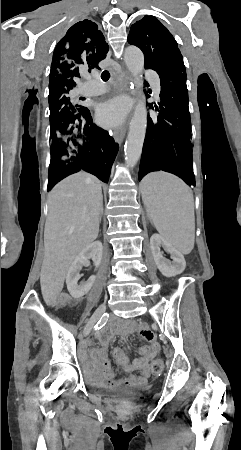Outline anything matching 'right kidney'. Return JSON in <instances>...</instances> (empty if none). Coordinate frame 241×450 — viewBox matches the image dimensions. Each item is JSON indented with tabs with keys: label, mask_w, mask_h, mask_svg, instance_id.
Wrapping results in <instances>:
<instances>
[{
	"label": "right kidney",
	"mask_w": 241,
	"mask_h": 450,
	"mask_svg": "<svg viewBox=\"0 0 241 450\" xmlns=\"http://www.w3.org/2000/svg\"><path fill=\"white\" fill-rule=\"evenodd\" d=\"M102 252L103 246L101 242H92V244L86 246L84 250H81L78 256H76L74 262H72L66 276V284L70 296L75 298V300H79V298H82V296L88 294L95 282V276H90L87 282L78 284V280L81 278L79 274L80 270H82L85 264H88L90 258H92L94 266L99 268L102 260Z\"/></svg>",
	"instance_id": "right-kidney-1"
}]
</instances>
